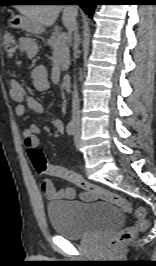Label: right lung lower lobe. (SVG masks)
Here are the masks:
<instances>
[{
    "label": "right lung lower lobe",
    "mask_w": 156,
    "mask_h": 266,
    "mask_svg": "<svg viewBox=\"0 0 156 266\" xmlns=\"http://www.w3.org/2000/svg\"><path fill=\"white\" fill-rule=\"evenodd\" d=\"M61 1H71L80 5L85 13H87L90 17L93 15L94 8L98 4V0H61ZM61 3V2H58Z\"/></svg>",
    "instance_id": "right-lung-lower-lobe-1"
}]
</instances>
